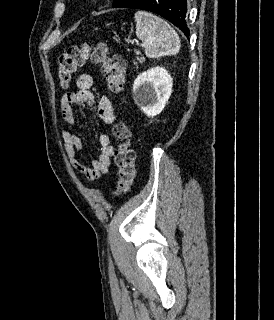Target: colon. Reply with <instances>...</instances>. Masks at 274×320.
I'll list each match as a JSON object with an SVG mask.
<instances>
[{
    "label": "colon",
    "instance_id": "colon-1",
    "mask_svg": "<svg viewBox=\"0 0 274 320\" xmlns=\"http://www.w3.org/2000/svg\"><path fill=\"white\" fill-rule=\"evenodd\" d=\"M91 61L101 65L105 76L108 78L111 88L115 91L123 89L126 82L125 67L120 57L110 55L105 44L91 46L82 44L69 47L57 60L56 72L62 86H68L77 70L85 61ZM115 135L118 139V147L115 155L118 167V187L114 195L126 192L133 183L134 149L131 144V131L124 121L116 125Z\"/></svg>",
    "mask_w": 274,
    "mask_h": 320
}]
</instances>
